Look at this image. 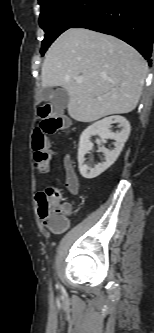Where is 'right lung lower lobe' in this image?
I'll use <instances>...</instances> for the list:
<instances>
[{
    "instance_id": "1",
    "label": "right lung lower lobe",
    "mask_w": 154,
    "mask_h": 333,
    "mask_svg": "<svg viewBox=\"0 0 154 333\" xmlns=\"http://www.w3.org/2000/svg\"><path fill=\"white\" fill-rule=\"evenodd\" d=\"M110 34L136 48L151 64L154 0H100L71 28Z\"/></svg>"
}]
</instances>
